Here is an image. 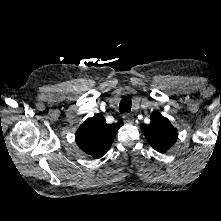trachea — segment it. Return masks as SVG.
Listing matches in <instances>:
<instances>
[{
    "instance_id": "3493384b",
    "label": "trachea",
    "mask_w": 221,
    "mask_h": 221,
    "mask_svg": "<svg viewBox=\"0 0 221 221\" xmlns=\"http://www.w3.org/2000/svg\"><path fill=\"white\" fill-rule=\"evenodd\" d=\"M131 105H132V100L130 97L125 96L123 99L120 101L119 104V111L120 113H128L131 110Z\"/></svg>"
}]
</instances>
